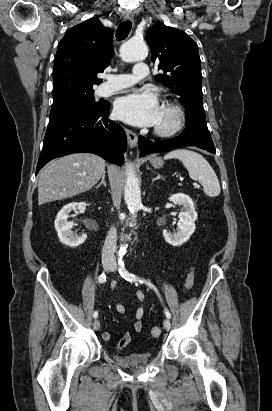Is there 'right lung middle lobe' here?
Instances as JSON below:
<instances>
[{
    "label": "right lung middle lobe",
    "mask_w": 272,
    "mask_h": 411,
    "mask_svg": "<svg viewBox=\"0 0 272 411\" xmlns=\"http://www.w3.org/2000/svg\"><path fill=\"white\" fill-rule=\"evenodd\" d=\"M102 105L96 102L92 88L73 92L66 99L54 102L49 120L66 115L75 111L97 108Z\"/></svg>",
    "instance_id": "obj_1"
}]
</instances>
